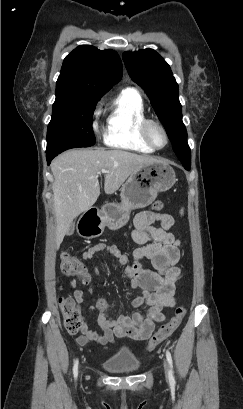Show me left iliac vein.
Segmentation results:
<instances>
[{
	"instance_id": "4c4485c4",
	"label": "left iliac vein",
	"mask_w": 243,
	"mask_h": 409,
	"mask_svg": "<svg viewBox=\"0 0 243 409\" xmlns=\"http://www.w3.org/2000/svg\"><path fill=\"white\" fill-rule=\"evenodd\" d=\"M163 365H164V371H165V375H166V377L168 376V372H169V367H168V364H167V362L164 360V362H163Z\"/></svg>"
}]
</instances>
